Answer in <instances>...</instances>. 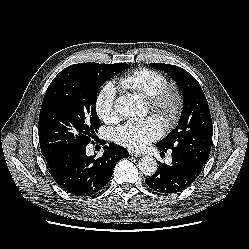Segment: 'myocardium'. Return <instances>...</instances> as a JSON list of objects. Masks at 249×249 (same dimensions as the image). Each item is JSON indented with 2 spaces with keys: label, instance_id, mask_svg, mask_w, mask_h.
I'll return each instance as SVG.
<instances>
[{
  "label": "myocardium",
  "instance_id": "f54148a6",
  "mask_svg": "<svg viewBox=\"0 0 249 249\" xmlns=\"http://www.w3.org/2000/svg\"><path fill=\"white\" fill-rule=\"evenodd\" d=\"M150 109L157 113L168 127L174 126L183 109V95L175 85H166L155 94L147 97Z\"/></svg>",
  "mask_w": 249,
  "mask_h": 249
}]
</instances>
